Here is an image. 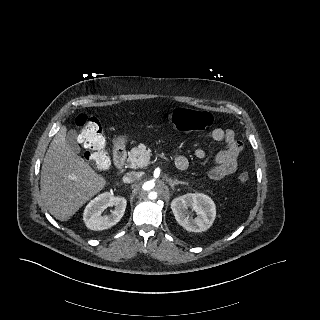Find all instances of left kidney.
<instances>
[{"label":"left kidney","instance_id":"left-kidney-1","mask_svg":"<svg viewBox=\"0 0 320 320\" xmlns=\"http://www.w3.org/2000/svg\"><path fill=\"white\" fill-rule=\"evenodd\" d=\"M171 209L178 224L190 232L206 231L216 217L213 200L202 193H187L175 198L171 202ZM189 209L196 212V218L191 216Z\"/></svg>","mask_w":320,"mask_h":320}]
</instances>
